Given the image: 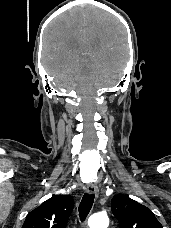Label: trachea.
Wrapping results in <instances>:
<instances>
[{
	"instance_id": "obj_1",
	"label": "trachea",
	"mask_w": 171,
	"mask_h": 228,
	"mask_svg": "<svg viewBox=\"0 0 171 228\" xmlns=\"http://www.w3.org/2000/svg\"><path fill=\"white\" fill-rule=\"evenodd\" d=\"M94 197V194H84L79 205V217L81 221H84L88 216L94 202Z\"/></svg>"
}]
</instances>
